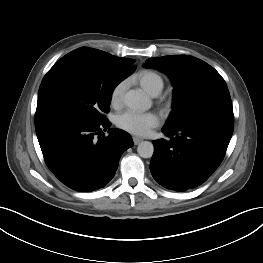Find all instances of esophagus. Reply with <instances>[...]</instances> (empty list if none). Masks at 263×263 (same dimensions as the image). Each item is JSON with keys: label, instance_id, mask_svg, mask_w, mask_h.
<instances>
[{"label": "esophagus", "instance_id": "34e87169", "mask_svg": "<svg viewBox=\"0 0 263 263\" xmlns=\"http://www.w3.org/2000/svg\"><path fill=\"white\" fill-rule=\"evenodd\" d=\"M142 141H143V139L140 138V137H137V136L133 137V142H134L135 145H138Z\"/></svg>", "mask_w": 263, "mask_h": 263}]
</instances>
